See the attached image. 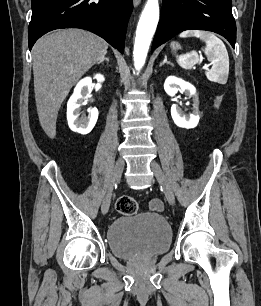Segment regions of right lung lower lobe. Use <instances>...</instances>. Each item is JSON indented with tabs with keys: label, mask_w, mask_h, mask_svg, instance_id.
I'll return each instance as SVG.
<instances>
[{
	"label": "right lung lower lobe",
	"mask_w": 261,
	"mask_h": 306,
	"mask_svg": "<svg viewBox=\"0 0 261 306\" xmlns=\"http://www.w3.org/2000/svg\"><path fill=\"white\" fill-rule=\"evenodd\" d=\"M132 8V0H32L29 49L49 31L81 28L99 35L123 53Z\"/></svg>",
	"instance_id": "right-lung-lower-lobe-1"
}]
</instances>
